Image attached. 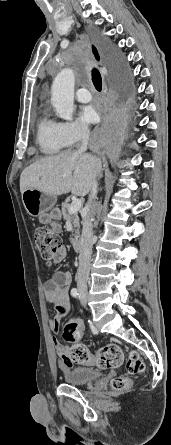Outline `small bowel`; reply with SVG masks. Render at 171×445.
<instances>
[{
	"label": "small bowel",
	"instance_id": "1",
	"mask_svg": "<svg viewBox=\"0 0 171 445\" xmlns=\"http://www.w3.org/2000/svg\"><path fill=\"white\" fill-rule=\"evenodd\" d=\"M50 228L54 232H59L61 226L57 222L50 223ZM67 251L64 246H61L55 258L56 263L65 260ZM72 275L69 271H57L44 284V295L47 302L53 304L56 308L55 317L49 321V328L52 332L58 333L62 318L69 312L71 305L69 299V287L71 284ZM78 326L83 328V323L78 320ZM53 343L62 357L60 362L63 368L74 367L73 363L68 359L70 348L61 344L56 337H53ZM86 364V363H82Z\"/></svg>",
	"mask_w": 171,
	"mask_h": 445
}]
</instances>
